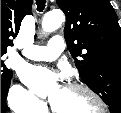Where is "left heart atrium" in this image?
<instances>
[{
    "instance_id": "left-heart-atrium-1",
    "label": "left heart atrium",
    "mask_w": 121,
    "mask_h": 113,
    "mask_svg": "<svg viewBox=\"0 0 121 113\" xmlns=\"http://www.w3.org/2000/svg\"><path fill=\"white\" fill-rule=\"evenodd\" d=\"M22 77L34 92L40 96L47 97L52 102L62 88L58 84V76L41 67L25 69Z\"/></svg>"
}]
</instances>
